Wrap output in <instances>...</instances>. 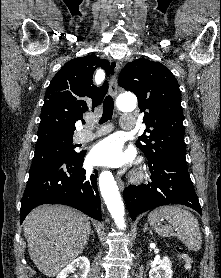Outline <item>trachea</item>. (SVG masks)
I'll use <instances>...</instances> for the list:
<instances>
[{
    "instance_id": "trachea-1",
    "label": "trachea",
    "mask_w": 221,
    "mask_h": 278,
    "mask_svg": "<svg viewBox=\"0 0 221 278\" xmlns=\"http://www.w3.org/2000/svg\"><path fill=\"white\" fill-rule=\"evenodd\" d=\"M113 110H114V101L113 98L108 95L105 97L103 102V114L99 121V124H103L108 120L112 119L113 116Z\"/></svg>"
}]
</instances>
